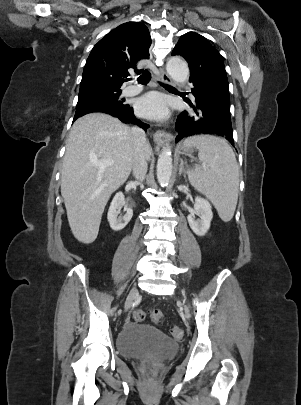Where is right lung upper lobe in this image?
<instances>
[{"label": "right lung upper lobe", "instance_id": "cb5924a9", "mask_svg": "<svg viewBox=\"0 0 301 405\" xmlns=\"http://www.w3.org/2000/svg\"><path fill=\"white\" fill-rule=\"evenodd\" d=\"M151 37L140 22H127L105 35L92 49L82 75L80 90L89 88L120 89L128 69L149 58ZM98 111V110H96Z\"/></svg>", "mask_w": 301, "mask_h": 405}]
</instances>
